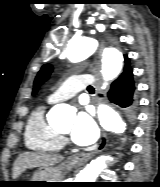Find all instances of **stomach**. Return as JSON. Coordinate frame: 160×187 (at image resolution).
I'll return each mask as SVG.
<instances>
[{"mask_svg": "<svg viewBox=\"0 0 160 187\" xmlns=\"http://www.w3.org/2000/svg\"><path fill=\"white\" fill-rule=\"evenodd\" d=\"M71 167V165H69ZM61 178V170L59 167H46V168H40L37 170L28 186L30 187H49V186H55L53 184L57 183H47V182H61L58 181Z\"/></svg>", "mask_w": 160, "mask_h": 187, "instance_id": "0dacf381", "label": "stomach"}]
</instances>
